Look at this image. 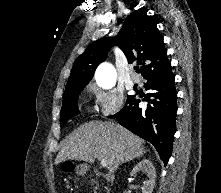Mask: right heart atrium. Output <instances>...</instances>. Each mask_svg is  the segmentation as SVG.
I'll use <instances>...</instances> for the list:
<instances>
[{
  "label": "right heart atrium",
  "instance_id": "1",
  "mask_svg": "<svg viewBox=\"0 0 221 193\" xmlns=\"http://www.w3.org/2000/svg\"><path fill=\"white\" fill-rule=\"evenodd\" d=\"M94 99L95 108L103 117H109L121 110L124 96L114 89H101L91 86L89 89Z\"/></svg>",
  "mask_w": 221,
  "mask_h": 193
}]
</instances>
